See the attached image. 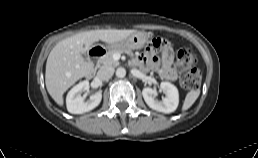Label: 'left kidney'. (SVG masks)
Here are the masks:
<instances>
[{"instance_id":"5707ae66","label":"left kidney","mask_w":258,"mask_h":158,"mask_svg":"<svg viewBox=\"0 0 258 158\" xmlns=\"http://www.w3.org/2000/svg\"><path fill=\"white\" fill-rule=\"evenodd\" d=\"M160 87L166 94V96L162 99V101H159L154 98L153 89L147 87L142 90V95L146 104L150 108L159 112H163V113L174 112L177 109L179 104L178 89L176 88V86L166 81L161 82Z\"/></svg>"}]
</instances>
